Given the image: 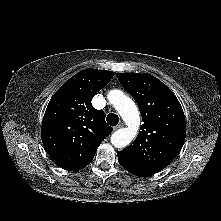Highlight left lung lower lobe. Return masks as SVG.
<instances>
[{"mask_svg": "<svg viewBox=\"0 0 221 221\" xmlns=\"http://www.w3.org/2000/svg\"><path fill=\"white\" fill-rule=\"evenodd\" d=\"M118 161L123 168H125L127 171L137 176L145 177L159 172V170L141 164L121 152H118Z\"/></svg>", "mask_w": 221, "mask_h": 221, "instance_id": "1", "label": "left lung lower lobe"}]
</instances>
